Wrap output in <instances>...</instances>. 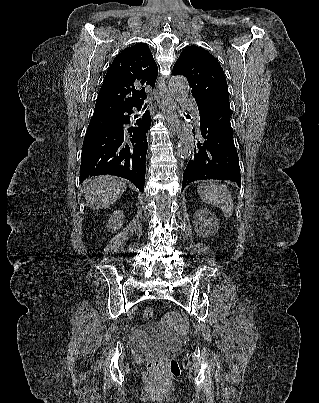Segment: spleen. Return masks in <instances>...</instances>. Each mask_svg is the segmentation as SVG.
<instances>
[{
  "mask_svg": "<svg viewBox=\"0 0 319 403\" xmlns=\"http://www.w3.org/2000/svg\"><path fill=\"white\" fill-rule=\"evenodd\" d=\"M197 190L201 200L221 208L226 218L232 216L233 198L225 185L218 181H209L198 185Z\"/></svg>",
  "mask_w": 319,
  "mask_h": 403,
  "instance_id": "1",
  "label": "spleen"
}]
</instances>
